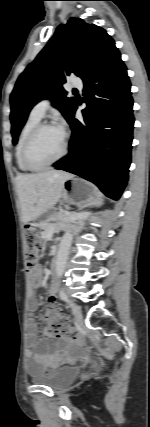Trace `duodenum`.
Listing matches in <instances>:
<instances>
[{"instance_id": "1", "label": "duodenum", "mask_w": 150, "mask_h": 427, "mask_svg": "<svg viewBox=\"0 0 150 427\" xmlns=\"http://www.w3.org/2000/svg\"><path fill=\"white\" fill-rule=\"evenodd\" d=\"M56 253V252H55ZM57 264V257H55L52 261V267L55 268Z\"/></svg>"}]
</instances>
